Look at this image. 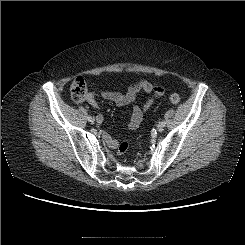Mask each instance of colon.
Returning <instances> with one entry per match:
<instances>
[{"mask_svg":"<svg viewBox=\"0 0 245 245\" xmlns=\"http://www.w3.org/2000/svg\"><path fill=\"white\" fill-rule=\"evenodd\" d=\"M70 94L73 100L81 102L88 98V85L84 78H75L70 85ZM170 101L173 104L180 102V97L177 94L170 96ZM129 150V144L127 142H121L117 145V154L119 156L125 155Z\"/></svg>","mask_w":245,"mask_h":245,"instance_id":"obj_1","label":"colon"}]
</instances>
